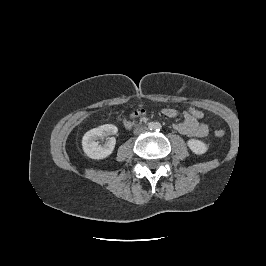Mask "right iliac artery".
<instances>
[{
    "label": "right iliac artery",
    "instance_id": "82829eb1",
    "mask_svg": "<svg viewBox=\"0 0 266 266\" xmlns=\"http://www.w3.org/2000/svg\"><path fill=\"white\" fill-rule=\"evenodd\" d=\"M149 128L152 129L153 128V124L150 123L149 124Z\"/></svg>",
    "mask_w": 266,
    "mask_h": 266
}]
</instances>
